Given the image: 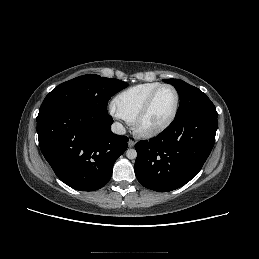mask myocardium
Returning a JSON list of instances; mask_svg holds the SVG:
<instances>
[{
	"label": "myocardium",
	"mask_w": 259,
	"mask_h": 259,
	"mask_svg": "<svg viewBox=\"0 0 259 259\" xmlns=\"http://www.w3.org/2000/svg\"><path fill=\"white\" fill-rule=\"evenodd\" d=\"M163 88H170L175 94V104H174L173 110H172L170 116L160 125L153 127V128H145L143 126V122L151 109L155 96ZM179 104H180V96H179L177 89L173 85L168 84V83L160 84L157 88H155L151 92V94L147 98L146 102L144 103L143 107L141 108L140 112L138 113L135 120L133 121L135 132L139 136L146 137V138L155 137V136L161 134L175 120L178 110H179Z\"/></svg>",
	"instance_id": "myocardium-1"
}]
</instances>
